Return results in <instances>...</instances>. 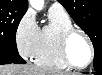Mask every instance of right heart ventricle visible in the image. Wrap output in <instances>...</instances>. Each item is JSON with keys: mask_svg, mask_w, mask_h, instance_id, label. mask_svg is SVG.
Returning a JSON list of instances; mask_svg holds the SVG:
<instances>
[{"mask_svg": "<svg viewBox=\"0 0 102 75\" xmlns=\"http://www.w3.org/2000/svg\"><path fill=\"white\" fill-rule=\"evenodd\" d=\"M48 19V23L39 29L34 62L50 68H66L68 65L61 58L58 43L62 33L74 26L73 21L70 15L61 9H49Z\"/></svg>", "mask_w": 102, "mask_h": 75, "instance_id": "obj_1", "label": "right heart ventricle"}]
</instances>
